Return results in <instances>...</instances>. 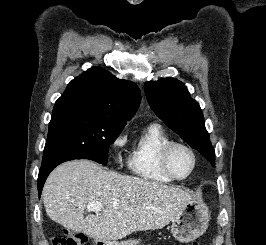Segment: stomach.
Here are the masks:
<instances>
[{"instance_id": "obj_1", "label": "stomach", "mask_w": 266, "mask_h": 245, "mask_svg": "<svg viewBox=\"0 0 266 245\" xmlns=\"http://www.w3.org/2000/svg\"><path fill=\"white\" fill-rule=\"evenodd\" d=\"M209 225V209L204 203H188L180 215L172 219L171 233L180 243H188L201 237ZM103 245H119L117 241H109Z\"/></svg>"}]
</instances>
